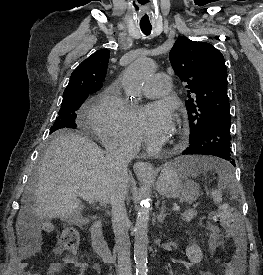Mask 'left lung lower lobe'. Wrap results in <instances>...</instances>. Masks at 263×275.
<instances>
[{"label":"left lung lower lobe","instance_id":"left-lung-lower-lobe-1","mask_svg":"<svg viewBox=\"0 0 263 275\" xmlns=\"http://www.w3.org/2000/svg\"><path fill=\"white\" fill-rule=\"evenodd\" d=\"M230 127V117L215 120L201 135L189 140L190 145L182 152V155H213L235 166L230 148Z\"/></svg>","mask_w":263,"mask_h":275}]
</instances>
